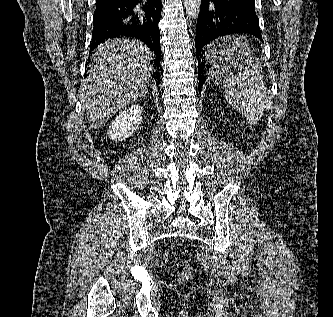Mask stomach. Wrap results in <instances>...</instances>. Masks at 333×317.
Here are the masks:
<instances>
[{"mask_svg":"<svg viewBox=\"0 0 333 317\" xmlns=\"http://www.w3.org/2000/svg\"><path fill=\"white\" fill-rule=\"evenodd\" d=\"M251 51L250 41H242V34H224V41H210L205 61L216 62L208 76L210 88H227V82H262L229 81V74H240V71L226 69H253L257 55H249Z\"/></svg>","mask_w":333,"mask_h":317,"instance_id":"obj_1","label":"stomach"}]
</instances>
